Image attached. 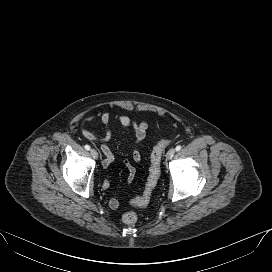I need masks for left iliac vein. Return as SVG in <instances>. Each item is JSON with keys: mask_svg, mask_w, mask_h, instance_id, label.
Here are the masks:
<instances>
[{"mask_svg": "<svg viewBox=\"0 0 272 272\" xmlns=\"http://www.w3.org/2000/svg\"><path fill=\"white\" fill-rule=\"evenodd\" d=\"M175 152H176V149L174 148L169 149V151L166 154V158L169 160L172 159L175 155Z\"/></svg>", "mask_w": 272, "mask_h": 272, "instance_id": "1", "label": "left iliac vein"}]
</instances>
